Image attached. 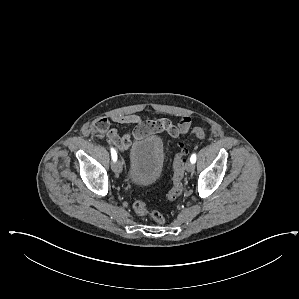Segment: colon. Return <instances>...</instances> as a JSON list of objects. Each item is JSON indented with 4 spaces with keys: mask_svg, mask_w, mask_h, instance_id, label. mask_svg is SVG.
Returning <instances> with one entry per match:
<instances>
[{
    "mask_svg": "<svg viewBox=\"0 0 299 299\" xmlns=\"http://www.w3.org/2000/svg\"><path fill=\"white\" fill-rule=\"evenodd\" d=\"M96 128L99 131H106L108 124L104 120H100L96 123ZM189 137L203 140L206 137V133L202 128L196 127L191 130ZM185 153L186 150L183 145H180L179 150L174 153L172 187L167 196L169 200H175L183 192ZM133 209L138 215H149L159 224L165 222V217L159 211L148 212L146 204L141 200L134 202Z\"/></svg>",
    "mask_w": 299,
    "mask_h": 299,
    "instance_id": "obj_1",
    "label": "colon"
}]
</instances>
